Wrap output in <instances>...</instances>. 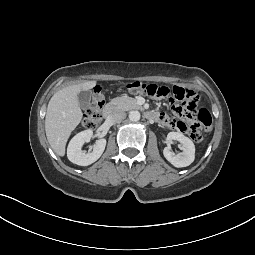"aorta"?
<instances>
[{
    "label": "aorta",
    "instance_id": "obj_1",
    "mask_svg": "<svg viewBox=\"0 0 255 255\" xmlns=\"http://www.w3.org/2000/svg\"><path fill=\"white\" fill-rule=\"evenodd\" d=\"M129 119L133 122H137L140 120V113L139 111H131L129 113Z\"/></svg>",
    "mask_w": 255,
    "mask_h": 255
}]
</instances>
